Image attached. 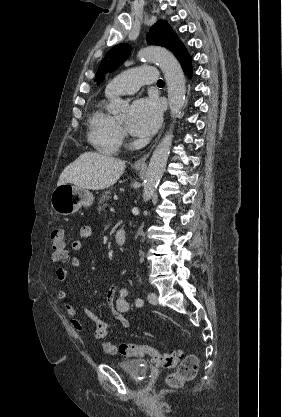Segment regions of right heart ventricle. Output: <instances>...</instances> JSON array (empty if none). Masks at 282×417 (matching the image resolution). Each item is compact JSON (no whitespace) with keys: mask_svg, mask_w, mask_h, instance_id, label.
Here are the masks:
<instances>
[{"mask_svg":"<svg viewBox=\"0 0 282 417\" xmlns=\"http://www.w3.org/2000/svg\"><path fill=\"white\" fill-rule=\"evenodd\" d=\"M88 138L96 148L105 152H114L120 145V132L115 127L114 118L105 110L104 102L89 118Z\"/></svg>","mask_w":282,"mask_h":417,"instance_id":"1","label":"right heart ventricle"}]
</instances>
